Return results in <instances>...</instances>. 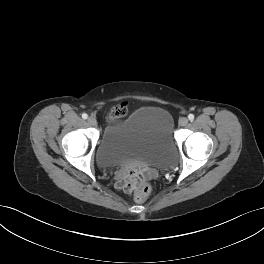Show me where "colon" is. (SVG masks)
I'll list each match as a JSON object with an SVG mask.
<instances>
[{"label": "colon", "mask_w": 264, "mask_h": 264, "mask_svg": "<svg viewBox=\"0 0 264 264\" xmlns=\"http://www.w3.org/2000/svg\"><path fill=\"white\" fill-rule=\"evenodd\" d=\"M127 113V106L125 103L114 106L109 114L112 120L123 118ZM119 187L127 192L134 193L137 201H143L151 191V185L143 176L136 170H131L128 174L121 178Z\"/></svg>", "instance_id": "1"}]
</instances>
